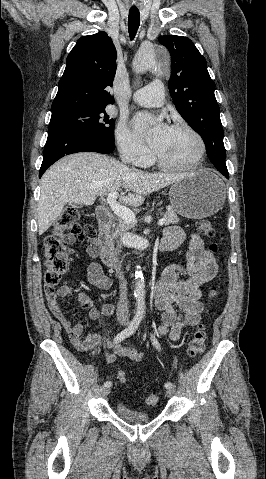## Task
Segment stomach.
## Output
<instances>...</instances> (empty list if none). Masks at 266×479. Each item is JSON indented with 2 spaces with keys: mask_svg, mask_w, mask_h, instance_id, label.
I'll list each match as a JSON object with an SVG mask.
<instances>
[{
  "mask_svg": "<svg viewBox=\"0 0 266 479\" xmlns=\"http://www.w3.org/2000/svg\"><path fill=\"white\" fill-rule=\"evenodd\" d=\"M223 181L202 169L175 182L169 191L172 209L183 217L202 219L218 212L225 201Z\"/></svg>",
  "mask_w": 266,
  "mask_h": 479,
  "instance_id": "stomach-1",
  "label": "stomach"
}]
</instances>
